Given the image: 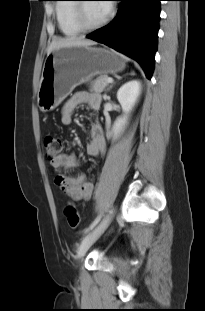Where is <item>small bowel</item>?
<instances>
[{
	"label": "small bowel",
	"instance_id": "1",
	"mask_svg": "<svg viewBox=\"0 0 205 311\" xmlns=\"http://www.w3.org/2000/svg\"><path fill=\"white\" fill-rule=\"evenodd\" d=\"M88 105L92 110H98L101 98L97 93L87 91L76 92L62 107L60 121L64 125L73 123L76 109L81 105ZM87 154L92 157L103 155L105 141L101 125L94 121L89 125V141L86 146ZM57 172L56 185L73 200H88L93 191V183L87 179L84 173L70 175L68 171L77 164V158L73 153H60L50 162Z\"/></svg>",
	"mask_w": 205,
	"mask_h": 311
}]
</instances>
